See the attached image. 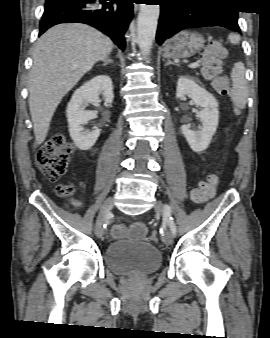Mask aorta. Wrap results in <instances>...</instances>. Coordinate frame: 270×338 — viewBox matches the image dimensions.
<instances>
[{
	"instance_id": "obj_1",
	"label": "aorta",
	"mask_w": 270,
	"mask_h": 338,
	"mask_svg": "<svg viewBox=\"0 0 270 338\" xmlns=\"http://www.w3.org/2000/svg\"><path fill=\"white\" fill-rule=\"evenodd\" d=\"M159 5L141 4L137 22V39L141 51L148 55L155 39Z\"/></svg>"
}]
</instances>
